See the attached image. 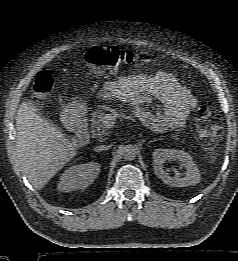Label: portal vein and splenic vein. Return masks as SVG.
I'll list each match as a JSON object with an SVG mask.
<instances>
[{
  "label": "portal vein and splenic vein",
  "instance_id": "18ae733b",
  "mask_svg": "<svg viewBox=\"0 0 238 261\" xmlns=\"http://www.w3.org/2000/svg\"><path fill=\"white\" fill-rule=\"evenodd\" d=\"M115 116L112 114H106L103 117V124L107 127V128H111L113 127L114 123H115Z\"/></svg>",
  "mask_w": 238,
  "mask_h": 261
}]
</instances>
